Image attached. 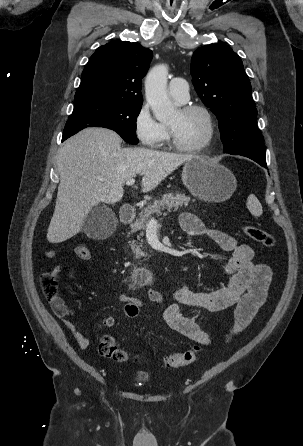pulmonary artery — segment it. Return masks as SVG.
I'll use <instances>...</instances> for the list:
<instances>
[{"mask_svg": "<svg viewBox=\"0 0 303 446\" xmlns=\"http://www.w3.org/2000/svg\"><path fill=\"white\" fill-rule=\"evenodd\" d=\"M168 92L174 99L186 102L189 98L188 82L181 77L172 78L168 85Z\"/></svg>", "mask_w": 303, "mask_h": 446, "instance_id": "obj_1", "label": "pulmonary artery"}]
</instances>
